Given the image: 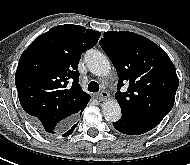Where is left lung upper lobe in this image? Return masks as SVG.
Segmentation results:
<instances>
[{
	"instance_id": "obj_1",
	"label": "left lung upper lobe",
	"mask_w": 190,
	"mask_h": 165,
	"mask_svg": "<svg viewBox=\"0 0 190 165\" xmlns=\"http://www.w3.org/2000/svg\"><path fill=\"white\" fill-rule=\"evenodd\" d=\"M117 70L115 95L122 113L162 120L172 109L178 88L176 69L166 52L149 39L128 31H109L99 41Z\"/></svg>"
}]
</instances>
